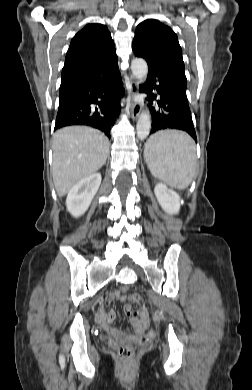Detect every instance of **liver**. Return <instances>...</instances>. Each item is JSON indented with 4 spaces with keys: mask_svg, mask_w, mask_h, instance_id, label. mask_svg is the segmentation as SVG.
<instances>
[{
    "mask_svg": "<svg viewBox=\"0 0 252 390\" xmlns=\"http://www.w3.org/2000/svg\"><path fill=\"white\" fill-rule=\"evenodd\" d=\"M110 142L99 130L70 126L53 136L52 174L59 197L80 180L97 172L106 162Z\"/></svg>",
    "mask_w": 252,
    "mask_h": 390,
    "instance_id": "6515ba94",
    "label": "liver"
}]
</instances>
